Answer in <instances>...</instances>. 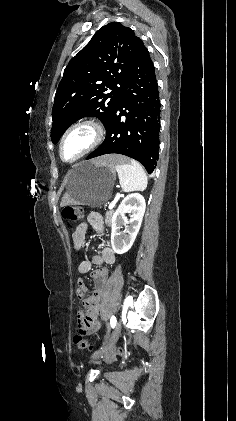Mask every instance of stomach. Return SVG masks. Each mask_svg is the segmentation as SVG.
Wrapping results in <instances>:
<instances>
[{"mask_svg": "<svg viewBox=\"0 0 236 421\" xmlns=\"http://www.w3.org/2000/svg\"><path fill=\"white\" fill-rule=\"evenodd\" d=\"M115 176V166L82 160L69 170L67 192L73 204L100 206L107 202Z\"/></svg>", "mask_w": 236, "mask_h": 421, "instance_id": "obj_1", "label": "stomach"}]
</instances>
